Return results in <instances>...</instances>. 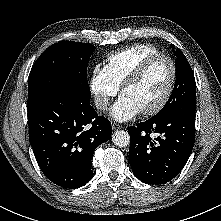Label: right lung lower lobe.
Masks as SVG:
<instances>
[{
	"label": "right lung lower lobe",
	"mask_w": 221,
	"mask_h": 221,
	"mask_svg": "<svg viewBox=\"0 0 221 221\" xmlns=\"http://www.w3.org/2000/svg\"><path fill=\"white\" fill-rule=\"evenodd\" d=\"M29 140L43 174L63 188L84 186L93 177L95 149L111 136V123L89 102L52 93L27 108Z\"/></svg>",
	"instance_id": "right-lung-lower-lobe-1"
}]
</instances>
